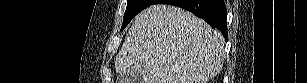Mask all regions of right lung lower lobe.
<instances>
[{
	"mask_svg": "<svg viewBox=\"0 0 307 83\" xmlns=\"http://www.w3.org/2000/svg\"><path fill=\"white\" fill-rule=\"evenodd\" d=\"M171 4L204 19L213 28L219 29L227 38L226 6L224 0H153L152 4ZM151 4V5H152Z\"/></svg>",
	"mask_w": 307,
	"mask_h": 83,
	"instance_id": "1",
	"label": "right lung lower lobe"
}]
</instances>
